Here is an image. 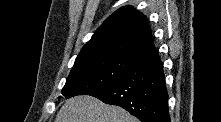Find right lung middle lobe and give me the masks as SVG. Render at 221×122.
Returning <instances> with one entry per match:
<instances>
[{"label":"right lung middle lobe","mask_w":221,"mask_h":122,"mask_svg":"<svg viewBox=\"0 0 221 122\" xmlns=\"http://www.w3.org/2000/svg\"><path fill=\"white\" fill-rule=\"evenodd\" d=\"M137 60L124 57H102L74 65L62 94L66 98L89 95L122 78Z\"/></svg>","instance_id":"dd1d6c3e"}]
</instances>
